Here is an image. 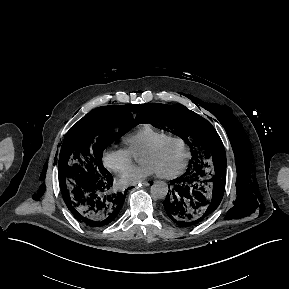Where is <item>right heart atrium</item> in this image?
I'll use <instances>...</instances> for the list:
<instances>
[{"label": "right heart atrium", "mask_w": 289, "mask_h": 289, "mask_svg": "<svg viewBox=\"0 0 289 289\" xmlns=\"http://www.w3.org/2000/svg\"><path fill=\"white\" fill-rule=\"evenodd\" d=\"M101 158L107 169L121 173L131 166L134 155L126 147L111 146L102 151Z\"/></svg>", "instance_id": "1"}]
</instances>
